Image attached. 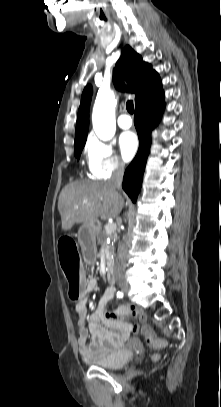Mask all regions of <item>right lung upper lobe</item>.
Segmentation results:
<instances>
[{
    "instance_id": "right-lung-upper-lobe-1",
    "label": "right lung upper lobe",
    "mask_w": 221,
    "mask_h": 407,
    "mask_svg": "<svg viewBox=\"0 0 221 407\" xmlns=\"http://www.w3.org/2000/svg\"><path fill=\"white\" fill-rule=\"evenodd\" d=\"M123 78L128 82L129 91L135 93L136 107L154 96L161 89L158 73L142 60L130 46H125L113 70V83L118 90H124ZM92 96L90 85L84 88L78 111L75 144L85 142L89 127V106Z\"/></svg>"
}]
</instances>
